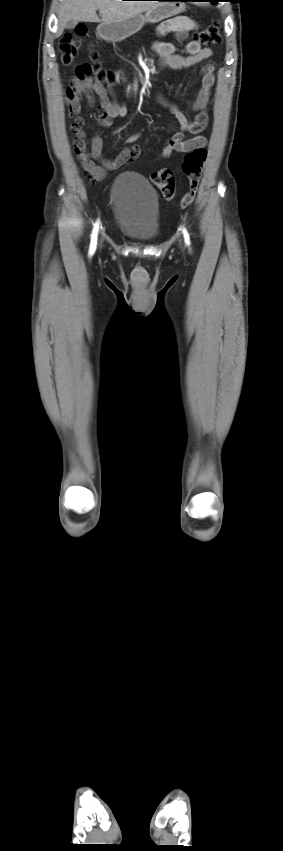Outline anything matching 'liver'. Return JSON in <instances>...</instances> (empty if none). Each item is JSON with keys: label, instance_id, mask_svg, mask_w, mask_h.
Segmentation results:
<instances>
[{"label": "liver", "instance_id": "liver-1", "mask_svg": "<svg viewBox=\"0 0 283 851\" xmlns=\"http://www.w3.org/2000/svg\"><path fill=\"white\" fill-rule=\"evenodd\" d=\"M156 1L65 0L59 8L60 34L68 21L114 23L156 7ZM99 10L100 20L96 11Z\"/></svg>", "mask_w": 283, "mask_h": 851}]
</instances>
